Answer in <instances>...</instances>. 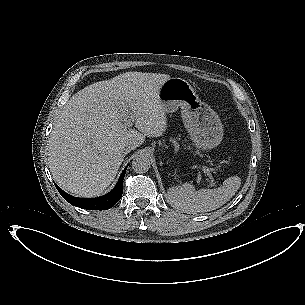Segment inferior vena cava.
Segmentation results:
<instances>
[{"mask_svg":"<svg viewBox=\"0 0 305 305\" xmlns=\"http://www.w3.org/2000/svg\"><path fill=\"white\" fill-rule=\"evenodd\" d=\"M136 147L133 144H123L122 145V150L124 154H128L129 152H131L132 150H134Z\"/></svg>","mask_w":305,"mask_h":305,"instance_id":"inferior-vena-cava-1","label":"inferior vena cava"}]
</instances>
